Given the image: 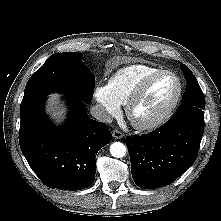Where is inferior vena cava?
<instances>
[{
    "instance_id": "1",
    "label": "inferior vena cava",
    "mask_w": 221,
    "mask_h": 221,
    "mask_svg": "<svg viewBox=\"0 0 221 221\" xmlns=\"http://www.w3.org/2000/svg\"><path fill=\"white\" fill-rule=\"evenodd\" d=\"M91 115L100 122H112L111 115L101 105H95L90 109Z\"/></svg>"
}]
</instances>
